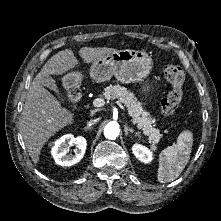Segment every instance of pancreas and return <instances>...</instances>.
<instances>
[{"mask_svg":"<svg viewBox=\"0 0 221 221\" xmlns=\"http://www.w3.org/2000/svg\"><path fill=\"white\" fill-rule=\"evenodd\" d=\"M102 96L108 100L118 99L124 103L133 122L149 137L152 146L159 142L162 137L159 129L153 127L154 120L150 117L149 112L143 109L142 104L137 101L132 92L123 86L109 85L104 89Z\"/></svg>","mask_w":221,"mask_h":221,"instance_id":"cf45deb5","label":"pancreas"}]
</instances>
